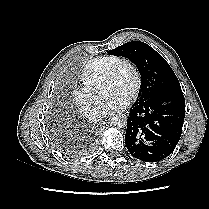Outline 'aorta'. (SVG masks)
<instances>
[{
    "label": "aorta",
    "mask_w": 209,
    "mask_h": 209,
    "mask_svg": "<svg viewBox=\"0 0 209 209\" xmlns=\"http://www.w3.org/2000/svg\"><path fill=\"white\" fill-rule=\"evenodd\" d=\"M110 123L115 127L122 128L126 125L127 118L123 114L115 115L111 118Z\"/></svg>",
    "instance_id": "1"
}]
</instances>
